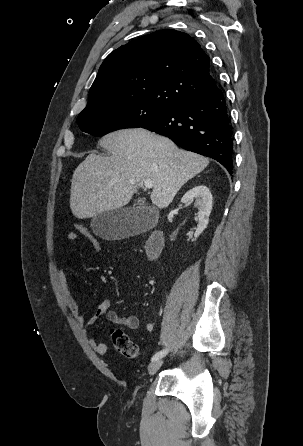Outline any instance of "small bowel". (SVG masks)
Returning a JSON list of instances; mask_svg holds the SVG:
<instances>
[{
	"instance_id": "1",
	"label": "small bowel",
	"mask_w": 303,
	"mask_h": 446,
	"mask_svg": "<svg viewBox=\"0 0 303 446\" xmlns=\"http://www.w3.org/2000/svg\"><path fill=\"white\" fill-rule=\"evenodd\" d=\"M67 240L69 242L80 240L82 241L88 249L94 251L92 241L86 237L80 236L75 232H71L67 235ZM58 280L60 284V288L71 315L75 319V321L80 325H90L95 323L101 317L106 316V318L123 327H126L129 330H136L139 328V319L135 315H127L122 316L119 315L115 310L111 308L113 299L106 298L104 299L100 305L97 307L95 314L89 319L88 322H85L84 316L80 310L78 301L72 291L70 283L68 281L67 275L63 271V269L59 268L58 270ZM155 328L154 322H148L146 324V329L148 331H153ZM90 346L100 355H104L107 352V345L103 342H98L92 337L88 339Z\"/></svg>"
}]
</instances>
